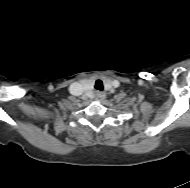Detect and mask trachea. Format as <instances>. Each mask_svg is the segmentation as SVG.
<instances>
[{
	"label": "trachea",
	"mask_w": 190,
	"mask_h": 188,
	"mask_svg": "<svg viewBox=\"0 0 190 188\" xmlns=\"http://www.w3.org/2000/svg\"><path fill=\"white\" fill-rule=\"evenodd\" d=\"M94 87L96 90L102 91L103 90V82L101 80H96Z\"/></svg>",
	"instance_id": "1"
}]
</instances>
